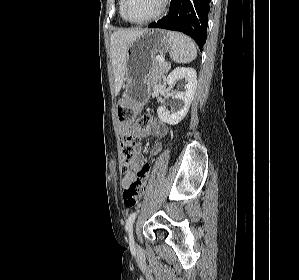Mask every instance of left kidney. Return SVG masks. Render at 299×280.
Returning a JSON list of instances; mask_svg holds the SVG:
<instances>
[{
	"label": "left kidney",
	"mask_w": 299,
	"mask_h": 280,
	"mask_svg": "<svg viewBox=\"0 0 299 280\" xmlns=\"http://www.w3.org/2000/svg\"><path fill=\"white\" fill-rule=\"evenodd\" d=\"M178 79H185L187 84L185 91L177 92L173 97L178 102L176 111L169 113L163 106L157 109L159 119L170 125L178 124L187 115L197 88V73L193 68L177 67L168 75L166 82L172 85Z\"/></svg>",
	"instance_id": "obj_1"
}]
</instances>
